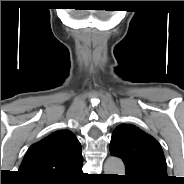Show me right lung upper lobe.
I'll list each match as a JSON object with an SVG mask.
<instances>
[{"label":"right lung upper lobe","mask_w":184,"mask_h":184,"mask_svg":"<svg viewBox=\"0 0 184 184\" xmlns=\"http://www.w3.org/2000/svg\"><path fill=\"white\" fill-rule=\"evenodd\" d=\"M83 164L80 142L69 130H58L33 144L19 172L28 181L54 182L67 178Z\"/></svg>","instance_id":"obj_1"}]
</instances>
